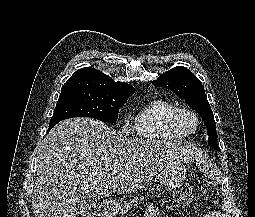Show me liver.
I'll return each instance as SVG.
<instances>
[{"instance_id": "1", "label": "liver", "mask_w": 255, "mask_h": 217, "mask_svg": "<svg viewBox=\"0 0 255 217\" xmlns=\"http://www.w3.org/2000/svg\"><path fill=\"white\" fill-rule=\"evenodd\" d=\"M202 153L193 145L127 138L90 118L64 120L47 134L39 153L34 216L73 217L83 197L131 194L167 162L201 158Z\"/></svg>"}]
</instances>
